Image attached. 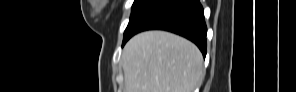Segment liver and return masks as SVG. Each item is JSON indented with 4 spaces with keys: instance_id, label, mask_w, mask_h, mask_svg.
Listing matches in <instances>:
<instances>
[{
    "instance_id": "obj_1",
    "label": "liver",
    "mask_w": 296,
    "mask_h": 92,
    "mask_svg": "<svg viewBox=\"0 0 296 92\" xmlns=\"http://www.w3.org/2000/svg\"><path fill=\"white\" fill-rule=\"evenodd\" d=\"M125 92H193L204 76L192 42L165 31L132 37L122 53Z\"/></svg>"
}]
</instances>
